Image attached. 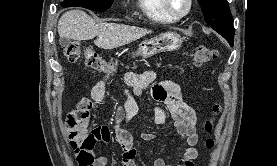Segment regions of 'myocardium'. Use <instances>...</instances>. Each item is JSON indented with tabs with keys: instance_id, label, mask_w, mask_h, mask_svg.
Here are the masks:
<instances>
[{
	"instance_id": "1",
	"label": "myocardium",
	"mask_w": 277,
	"mask_h": 166,
	"mask_svg": "<svg viewBox=\"0 0 277 166\" xmlns=\"http://www.w3.org/2000/svg\"><path fill=\"white\" fill-rule=\"evenodd\" d=\"M160 1H161L163 10L174 20H178V19H181V18L187 16L193 7V0H187V8L185 9V11H183L182 13H176L170 7L169 0H160Z\"/></svg>"
}]
</instances>
